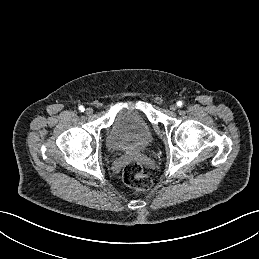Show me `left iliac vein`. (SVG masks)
<instances>
[{"label": "left iliac vein", "instance_id": "1", "mask_svg": "<svg viewBox=\"0 0 259 259\" xmlns=\"http://www.w3.org/2000/svg\"><path fill=\"white\" fill-rule=\"evenodd\" d=\"M176 109H177V105L176 104H171L170 105V110L171 111H176Z\"/></svg>", "mask_w": 259, "mask_h": 259}]
</instances>
